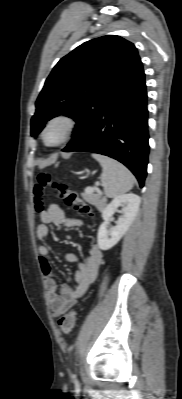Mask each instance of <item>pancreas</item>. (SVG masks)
I'll use <instances>...</instances> for the list:
<instances>
[{"label": "pancreas", "mask_w": 182, "mask_h": 399, "mask_svg": "<svg viewBox=\"0 0 182 399\" xmlns=\"http://www.w3.org/2000/svg\"><path fill=\"white\" fill-rule=\"evenodd\" d=\"M87 197L92 201V203L96 206L103 205L105 203V198H101V194H87Z\"/></svg>", "instance_id": "1"}]
</instances>
